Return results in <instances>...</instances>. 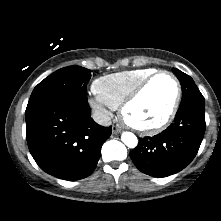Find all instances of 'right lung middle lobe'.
Wrapping results in <instances>:
<instances>
[{"label":"right lung middle lobe","mask_w":221,"mask_h":221,"mask_svg":"<svg viewBox=\"0 0 221 221\" xmlns=\"http://www.w3.org/2000/svg\"><path fill=\"white\" fill-rule=\"evenodd\" d=\"M90 78L91 71L81 66L61 68L34 88L27 107L57 99L87 100L86 86Z\"/></svg>","instance_id":"right-lung-middle-lobe-1"}]
</instances>
